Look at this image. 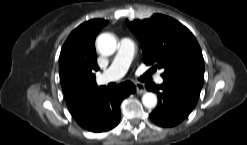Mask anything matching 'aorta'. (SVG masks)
Returning a JSON list of instances; mask_svg holds the SVG:
<instances>
[{
    "instance_id": "762f6f07",
    "label": "aorta",
    "mask_w": 247,
    "mask_h": 145,
    "mask_svg": "<svg viewBox=\"0 0 247 145\" xmlns=\"http://www.w3.org/2000/svg\"><path fill=\"white\" fill-rule=\"evenodd\" d=\"M98 51L103 55H112L117 46L115 37L109 33L101 34L96 40ZM142 103L146 108H154L157 105V97L152 92H146L142 96Z\"/></svg>"
}]
</instances>
